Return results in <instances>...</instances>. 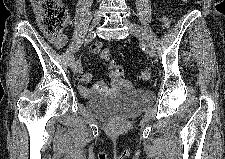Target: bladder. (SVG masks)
<instances>
[{
	"instance_id": "31cf9c89",
	"label": "bladder",
	"mask_w": 225,
	"mask_h": 159,
	"mask_svg": "<svg viewBox=\"0 0 225 159\" xmlns=\"http://www.w3.org/2000/svg\"><path fill=\"white\" fill-rule=\"evenodd\" d=\"M153 102L152 93L134 87H125L88 99L86 107L89 112L105 120L127 119L144 111Z\"/></svg>"
}]
</instances>
